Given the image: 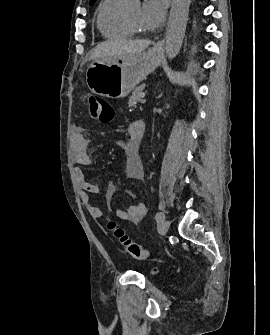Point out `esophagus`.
I'll return each mask as SVG.
<instances>
[{"instance_id": "obj_1", "label": "esophagus", "mask_w": 270, "mask_h": 335, "mask_svg": "<svg viewBox=\"0 0 270 335\" xmlns=\"http://www.w3.org/2000/svg\"><path fill=\"white\" fill-rule=\"evenodd\" d=\"M163 44H164V40H158L157 42H156V44H154V48L155 49H159V48H162V46H163Z\"/></svg>"}]
</instances>
